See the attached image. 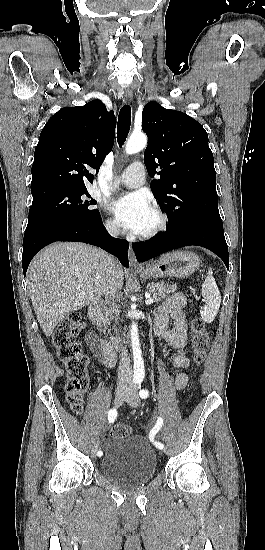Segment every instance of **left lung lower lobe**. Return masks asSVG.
Wrapping results in <instances>:
<instances>
[{
    "mask_svg": "<svg viewBox=\"0 0 265 550\" xmlns=\"http://www.w3.org/2000/svg\"><path fill=\"white\" fill-rule=\"evenodd\" d=\"M188 245L202 246L211 250L223 260L228 268L229 254L224 231L207 225L184 224L167 229L166 232L151 241L132 244L138 262L147 261L169 250Z\"/></svg>",
    "mask_w": 265,
    "mask_h": 550,
    "instance_id": "obj_1",
    "label": "left lung lower lobe"
}]
</instances>
